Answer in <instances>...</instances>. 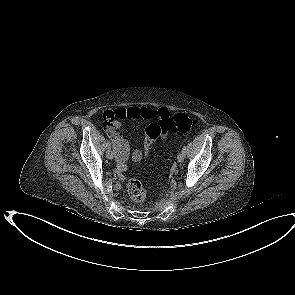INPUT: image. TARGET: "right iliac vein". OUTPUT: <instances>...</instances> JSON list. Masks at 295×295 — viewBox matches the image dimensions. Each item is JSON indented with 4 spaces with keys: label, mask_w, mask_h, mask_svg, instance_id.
Segmentation results:
<instances>
[{
    "label": "right iliac vein",
    "mask_w": 295,
    "mask_h": 295,
    "mask_svg": "<svg viewBox=\"0 0 295 295\" xmlns=\"http://www.w3.org/2000/svg\"><path fill=\"white\" fill-rule=\"evenodd\" d=\"M106 156L108 159H113L115 157V151L111 147L107 148Z\"/></svg>",
    "instance_id": "63e3f726"
}]
</instances>
